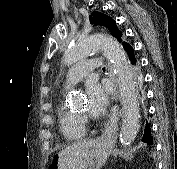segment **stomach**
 Wrapping results in <instances>:
<instances>
[{"mask_svg": "<svg viewBox=\"0 0 177 169\" xmlns=\"http://www.w3.org/2000/svg\"><path fill=\"white\" fill-rule=\"evenodd\" d=\"M112 148L113 146L109 142H98L92 149L81 169H102ZM50 169H58L56 159L50 165Z\"/></svg>", "mask_w": 177, "mask_h": 169, "instance_id": "stomach-1", "label": "stomach"}]
</instances>
